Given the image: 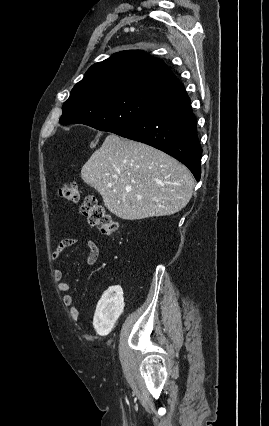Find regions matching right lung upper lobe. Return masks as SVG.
Segmentation results:
<instances>
[{"label": "right lung upper lobe", "mask_w": 269, "mask_h": 426, "mask_svg": "<svg viewBox=\"0 0 269 426\" xmlns=\"http://www.w3.org/2000/svg\"><path fill=\"white\" fill-rule=\"evenodd\" d=\"M176 82L178 79L162 60L141 50H128L92 65L71 94L89 97L101 92L131 89L161 92Z\"/></svg>", "instance_id": "right-lung-upper-lobe-1"}]
</instances>
